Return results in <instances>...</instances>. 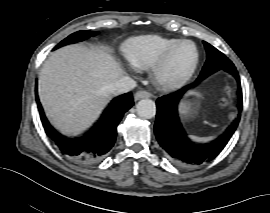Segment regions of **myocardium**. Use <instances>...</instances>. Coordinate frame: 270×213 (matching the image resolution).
Instances as JSON below:
<instances>
[{"label":"myocardium","instance_id":"myocardium-1","mask_svg":"<svg viewBox=\"0 0 270 213\" xmlns=\"http://www.w3.org/2000/svg\"><path fill=\"white\" fill-rule=\"evenodd\" d=\"M183 43H188L193 46L195 53L193 64L184 74L172 79H168L164 76V72L170 62V59L174 51L179 45ZM198 63H199V52L195 43L187 39L177 40L161 55V57L151 67V74L153 81L160 89L164 91L177 90L185 86L188 83V81L192 78L198 67Z\"/></svg>","mask_w":270,"mask_h":213}]
</instances>
